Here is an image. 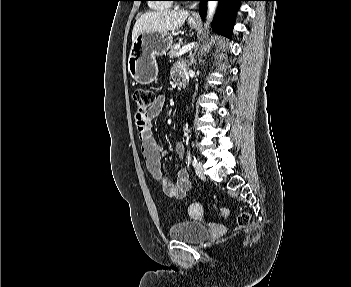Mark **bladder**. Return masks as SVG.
Returning <instances> with one entry per match:
<instances>
[{"mask_svg": "<svg viewBox=\"0 0 351 287\" xmlns=\"http://www.w3.org/2000/svg\"><path fill=\"white\" fill-rule=\"evenodd\" d=\"M208 234L207 225L201 220H184L173 224L169 229L172 239L188 243H198Z\"/></svg>", "mask_w": 351, "mask_h": 287, "instance_id": "obj_1", "label": "bladder"}]
</instances>
